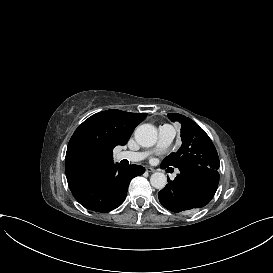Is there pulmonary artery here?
Here are the masks:
<instances>
[{
    "instance_id": "1",
    "label": "pulmonary artery",
    "mask_w": 273,
    "mask_h": 273,
    "mask_svg": "<svg viewBox=\"0 0 273 273\" xmlns=\"http://www.w3.org/2000/svg\"><path fill=\"white\" fill-rule=\"evenodd\" d=\"M160 133L163 138L157 140L156 145L160 149L167 148L172 145L173 141L177 138L175 127L172 124L161 128ZM149 156V153L145 149H137L132 151L123 150L119 153L118 158L120 161L125 162L127 160H145Z\"/></svg>"
}]
</instances>
